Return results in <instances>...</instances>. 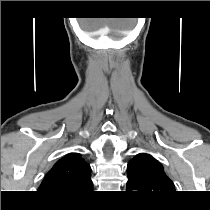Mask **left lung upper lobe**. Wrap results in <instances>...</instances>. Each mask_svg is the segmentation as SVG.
I'll return each mask as SVG.
<instances>
[{"mask_svg":"<svg viewBox=\"0 0 210 210\" xmlns=\"http://www.w3.org/2000/svg\"><path fill=\"white\" fill-rule=\"evenodd\" d=\"M126 187L139 189L150 196H164L175 192L174 184L165 174L162 165L151 155L137 154L128 163Z\"/></svg>","mask_w":210,"mask_h":210,"instance_id":"left-lung-upper-lobe-1","label":"left lung upper lobe"}]
</instances>
